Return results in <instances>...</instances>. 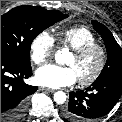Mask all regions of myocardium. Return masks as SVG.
I'll use <instances>...</instances> for the list:
<instances>
[{"mask_svg":"<svg viewBox=\"0 0 122 122\" xmlns=\"http://www.w3.org/2000/svg\"><path fill=\"white\" fill-rule=\"evenodd\" d=\"M96 52L98 54V65L95 69V71L88 77L86 78H78L77 81L80 85L82 86H88L96 82L99 77L102 75L105 66H106V61H107V52L106 49L98 44H89L85 45L83 47L74 49L72 54L77 58V59H83L87 55Z\"/></svg>","mask_w":122,"mask_h":122,"instance_id":"f54148a6","label":"myocardium"}]
</instances>
